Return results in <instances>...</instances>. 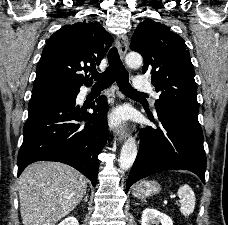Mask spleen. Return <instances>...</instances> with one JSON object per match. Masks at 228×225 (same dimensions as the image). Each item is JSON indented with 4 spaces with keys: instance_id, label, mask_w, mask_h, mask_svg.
I'll return each instance as SVG.
<instances>
[{
    "instance_id": "1",
    "label": "spleen",
    "mask_w": 228,
    "mask_h": 225,
    "mask_svg": "<svg viewBox=\"0 0 228 225\" xmlns=\"http://www.w3.org/2000/svg\"><path fill=\"white\" fill-rule=\"evenodd\" d=\"M177 195L180 199V211L184 217H189L195 209L196 197L194 191H192L189 185H182L177 191Z\"/></svg>"
}]
</instances>
